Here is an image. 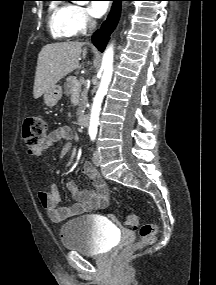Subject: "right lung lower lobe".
I'll list each match as a JSON object with an SVG mask.
<instances>
[{"mask_svg":"<svg viewBox=\"0 0 216 285\" xmlns=\"http://www.w3.org/2000/svg\"><path fill=\"white\" fill-rule=\"evenodd\" d=\"M112 1H114V3L107 20L103 23L101 29L92 36L93 44L101 52L104 51L107 42L109 40V35L112 33V31L114 30V28L118 23L120 10H121V1L123 0H112Z\"/></svg>","mask_w":216,"mask_h":285,"instance_id":"1","label":"right lung lower lobe"}]
</instances>
